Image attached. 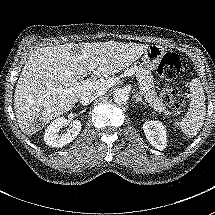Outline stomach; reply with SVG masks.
<instances>
[{"label":"stomach","instance_id":"1","mask_svg":"<svg viewBox=\"0 0 215 215\" xmlns=\"http://www.w3.org/2000/svg\"><path fill=\"white\" fill-rule=\"evenodd\" d=\"M167 51L161 45H150L148 46L142 56V65L149 69L155 70L158 68L163 58L165 57Z\"/></svg>","mask_w":215,"mask_h":215}]
</instances>
